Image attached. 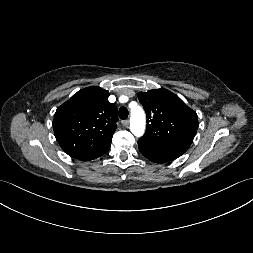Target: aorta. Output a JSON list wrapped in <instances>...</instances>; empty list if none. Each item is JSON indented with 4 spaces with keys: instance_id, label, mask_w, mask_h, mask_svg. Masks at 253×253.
Returning a JSON list of instances; mask_svg holds the SVG:
<instances>
[{
    "instance_id": "aorta-1",
    "label": "aorta",
    "mask_w": 253,
    "mask_h": 253,
    "mask_svg": "<svg viewBox=\"0 0 253 253\" xmlns=\"http://www.w3.org/2000/svg\"><path fill=\"white\" fill-rule=\"evenodd\" d=\"M145 112L140 106L131 109L130 130L136 137H141L145 131Z\"/></svg>"
}]
</instances>
